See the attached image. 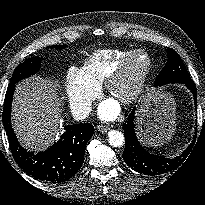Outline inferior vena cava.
I'll return each mask as SVG.
<instances>
[{"label": "inferior vena cava", "mask_w": 205, "mask_h": 205, "mask_svg": "<svg viewBox=\"0 0 205 205\" xmlns=\"http://www.w3.org/2000/svg\"><path fill=\"white\" fill-rule=\"evenodd\" d=\"M92 110L90 102L75 104L71 107V113L75 120L82 121L86 119Z\"/></svg>", "instance_id": "inferior-vena-cava-1"}]
</instances>
